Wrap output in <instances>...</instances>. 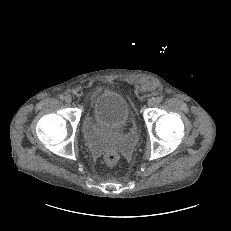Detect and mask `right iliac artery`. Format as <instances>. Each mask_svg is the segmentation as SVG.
I'll use <instances>...</instances> for the list:
<instances>
[{
    "label": "right iliac artery",
    "mask_w": 231,
    "mask_h": 231,
    "mask_svg": "<svg viewBox=\"0 0 231 231\" xmlns=\"http://www.w3.org/2000/svg\"><path fill=\"white\" fill-rule=\"evenodd\" d=\"M59 98L61 99V100H63L64 99V95H59Z\"/></svg>",
    "instance_id": "obj_1"
}]
</instances>
